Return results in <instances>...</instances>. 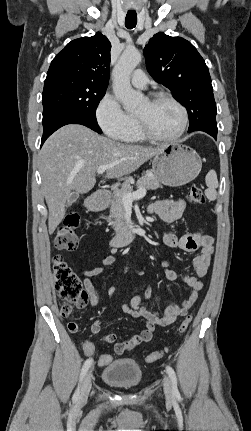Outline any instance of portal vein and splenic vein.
Returning <instances> with one entry per match:
<instances>
[{"mask_svg": "<svg viewBox=\"0 0 251 431\" xmlns=\"http://www.w3.org/2000/svg\"><path fill=\"white\" fill-rule=\"evenodd\" d=\"M109 167H111V166H109V165L100 166L97 169V173L103 174ZM145 195H146V189L140 188L139 190H137L135 192L124 194L122 197V201H123L124 205H129V204H132V202L134 200H139V199L143 198Z\"/></svg>", "mask_w": 251, "mask_h": 431, "instance_id": "obj_1", "label": "portal vein and splenic vein"}]
</instances>
